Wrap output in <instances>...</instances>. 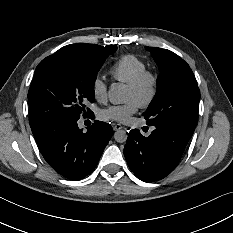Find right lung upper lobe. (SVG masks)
Listing matches in <instances>:
<instances>
[{"label":"right lung upper lobe","mask_w":233,"mask_h":233,"mask_svg":"<svg viewBox=\"0 0 233 233\" xmlns=\"http://www.w3.org/2000/svg\"><path fill=\"white\" fill-rule=\"evenodd\" d=\"M116 51V46H99L96 44H70L62 47L58 52H73L91 60H105L110 54Z\"/></svg>","instance_id":"cb5924a9"}]
</instances>
